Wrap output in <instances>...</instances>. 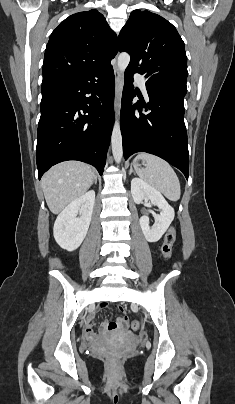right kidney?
<instances>
[{
    "label": "right kidney",
    "instance_id": "1",
    "mask_svg": "<svg viewBox=\"0 0 235 404\" xmlns=\"http://www.w3.org/2000/svg\"><path fill=\"white\" fill-rule=\"evenodd\" d=\"M94 203L95 192L91 190L72 201L58 215L53 231L54 238L61 248L74 251L81 245L88 232Z\"/></svg>",
    "mask_w": 235,
    "mask_h": 404
}]
</instances>
